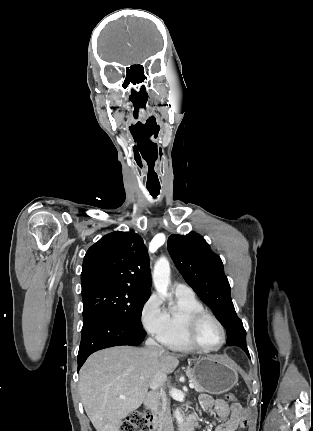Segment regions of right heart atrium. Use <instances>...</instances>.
I'll return each instance as SVG.
<instances>
[{"label": "right heart atrium", "instance_id": "d8ad5b80", "mask_svg": "<svg viewBox=\"0 0 313 431\" xmlns=\"http://www.w3.org/2000/svg\"><path fill=\"white\" fill-rule=\"evenodd\" d=\"M140 316L146 331L160 340L167 328V312L160 296L151 295L144 303Z\"/></svg>", "mask_w": 313, "mask_h": 431}]
</instances>
